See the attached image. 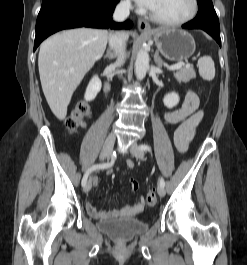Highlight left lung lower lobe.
Here are the masks:
<instances>
[{"instance_id":"obj_1","label":"left lung lower lobe","mask_w":247,"mask_h":265,"mask_svg":"<svg viewBox=\"0 0 247 265\" xmlns=\"http://www.w3.org/2000/svg\"><path fill=\"white\" fill-rule=\"evenodd\" d=\"M199 11L197 16L184 24L185 29H202L210 34L221 46L220 26L212 0H197Z\"/></svg>"}]
</instances>
